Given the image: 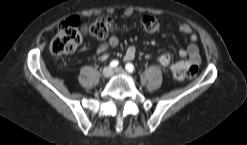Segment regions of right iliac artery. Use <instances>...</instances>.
Returning <instances> with one entry per match:
<instances>
[{"label": "right iliac artery", "mask_w": 247, "mask_h": 145, "mask_svg": "<svg viewBox=\"0 0 247 145\" xmlns=\"http://www.w3.org/2000/svg\"><path fill=\"white\" fill-rule=\"evenodd\" d=\"M118 64H119V62H118L117 60H113V61H111V63H110V67L115 68V67L118 66Z\"/></svg>", "instance_id": "82829eb1"}]
</instances>
